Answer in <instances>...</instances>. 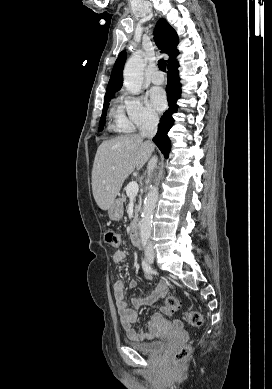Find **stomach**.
Returning a JSON list of instances; mask_svg holds the SVG:
<instances>
[{"instance_id": "stomach-1", "label": "stomach", "mask_w": 272, "mask_h": 389, "mask_svg": "<svg viewBox=\"0 0 272 389\" xmlns=\"http://www.w3.org/2000/svg\"><path fill=\"white\" fill-rule=\"evenodd\" d=\"M124 208L123 201L121 199H116L108 209V215L111 220H120L123 216Z\"/></svg>"}]
</instances>
